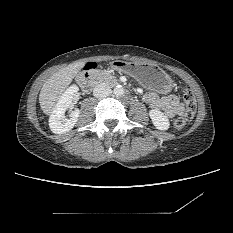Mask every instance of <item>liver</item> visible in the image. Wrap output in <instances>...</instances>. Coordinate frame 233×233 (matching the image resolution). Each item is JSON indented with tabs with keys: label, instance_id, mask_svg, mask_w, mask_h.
<instances>
[{
	"label": "liver",
	"instance_id": "6515ba94",
	"mask_svg": "<svg viewBox=\"0 0 233 233\" xmlns=\"http://www.w3.org/2000/svg\"><path fill=\"white\" fill-rule=\"evenodd\" d=\"M84 65V62L72 63L54 73L43 84L39 94V103L44 114H52L62 94Z\"/></svg>",
	"mask_w": 233,
	"mask_h": 233
}]
</instances>
